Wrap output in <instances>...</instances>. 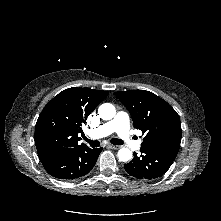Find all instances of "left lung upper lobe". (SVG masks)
I'll return each mask as SVG.
<instances>
[{"label":"left lung upper lobe","instance_id":"left-lung-upper-lobe-1","mask_svg":"<svg viewBox=\"0 0 221 221\" xmlns=\"http://www.w3.org/2000/svg\"><path fill=\"white\" fill-rule=\"evenodd\" d=\"M115 94L131 114L134 127L145 135L141 146L177 155L182 136L180 119L166 101L145 90Z\"/></svg>","mask_w":221,"mask_h":221}]
</instances>
